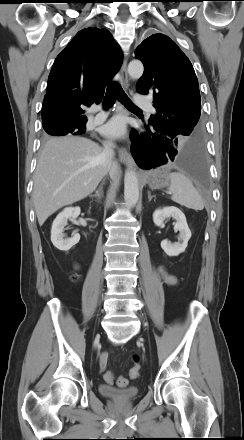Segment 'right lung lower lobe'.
Listing matches in <instances>:
<instances>
[{"label": "right lung lower lobe", "mask_w": 244, "mask_h": 440, "mask_svg": "<svg viewBox=\"0 0 244 440\" xmlns=\"http://www.w3.org/2000/svg\"><path fill=\"white\" fill-rule=\"evenodd\" d=\"M80 128L82 129L83 127L81 126ZM75 129H77V128H76L75 125H73V127H72V129L70 131H74ZM84 132H85V129L81 130V131H78V132H75V133H77L76 135H80V134H83Z\"/></svg>", "instance_id": "1"}]
</instances>
